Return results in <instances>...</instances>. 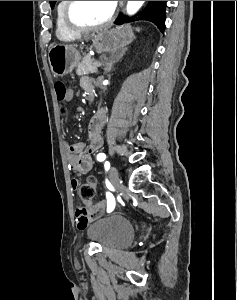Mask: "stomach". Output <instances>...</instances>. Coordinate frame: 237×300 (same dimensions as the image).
Returning <instances> with one entry per match:
<instances>
[{"mask_svg":"<svg viewBox=\"0 0 237 300\" xmlns=\"http://www.w3.org/2000/svg\"><path fill=\"white\" fill-rule=\"evenodd\" d=\"M98 53H114L134 41V33L130 25H122L116 29H100L90 35ZM81 55L73 45H54L48 51L50 69L57 77L68 75L78 65Z\"/></svg>","mask_w":237,"mask_h":300,"instance_id":"1","label":"stomach"}]
</instances>
